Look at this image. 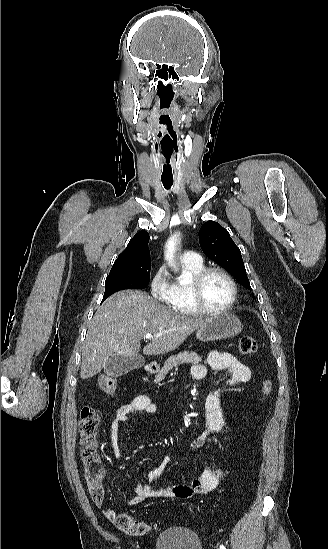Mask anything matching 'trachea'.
<instances>
[{
  "instance_id": "obj_1",
  "label": "trachea",
  "mask_w": 328,
  "mask_h": 549,
  "mask_svg": "<svg viewBox=\"0 0 328 549\" xmlns=\"http://www.w3.org/2000/svg\"><path fill=\"white\" fill-rule=\"evenodd\" d=\"M165 189H170L173 185V181L162 180Z\"/></svg>"
}]
</instances>
